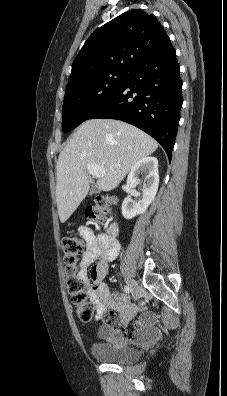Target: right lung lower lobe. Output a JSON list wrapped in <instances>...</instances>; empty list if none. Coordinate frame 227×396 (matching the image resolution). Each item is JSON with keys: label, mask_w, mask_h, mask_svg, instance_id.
<instances>
[{"label": "right lung lower lobe", "mask_w": 227, "mask_h": 396, "mask_svg": "<svg viewBox=\"0 0 227 396\" xmlns=\"http://www.w3.org/2000/svg\"><path fill=\"white\" fill-rule=\"evenodd\" d=\"M181 88L176 52L169 42L140 60L120 90L88 119L110 118L134 125L156 139L170 160L183 103Z\"/></svg>", "instance_id": "obj_1"}]
</instances>
